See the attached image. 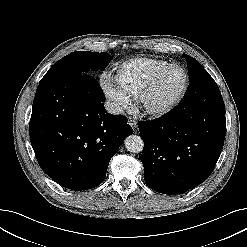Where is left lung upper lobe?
<instances>
[{"label":"left lung upper lobe","instance_id":"1","mask_svg":"<svg viewBox=\"0 0 247 247\" xmlns=\"http://www.w3.org/2000/svg\"><path fill=\"white\" fill-rule=\"evenodd\" d=\"M183 57L187 61V67L189 70V86L186 90L183 99L192 100L195 98V91L192 90L191 83L203 79L205 77H211L208 72L201 66V64L193 57L183 54ZM212 78V77H211Z\"/></svg>","mask_w":247,"mask_h":247}]
</instances>
